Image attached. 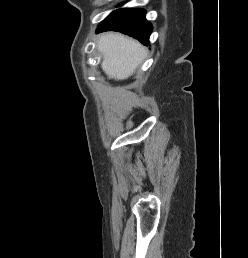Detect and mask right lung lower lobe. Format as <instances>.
Listing matches in <instances>:
<instances>
[{
	"mask_svg": "<svg viewBox=\"0 0 248 258\" xmlns=\"http://www.w3.org/2000/svg\"><path fill=\"white\" fill-rule=\"evenodd\" d=\"M145 13L144 9L125 8L113 11L98 25L96 32L119 31L149 45L152 25L146 20Z\"/></svg>",
	"mask_w": 248,
	"mask_h": 258,
	"instance_id": "1",
	"label": "right lung lower lobe"
}]
</instances>
